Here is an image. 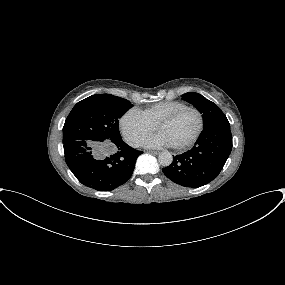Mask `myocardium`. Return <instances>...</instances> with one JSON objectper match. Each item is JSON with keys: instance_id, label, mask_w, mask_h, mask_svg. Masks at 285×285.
<instances>
[{"instance_id": "f54148a6", "label": "myocardium", "mask_w": 285, "mask_h": 285, "mask_svg": "<svg viewBox=\"0 0 285 285\" xmlns=\"http://www.w3.org/2000/svg\"><path fill=\"white\" fill-rule=\"evenodd\" d=\"M185 110H193L196 112V114L198 116V120H199V125H198L196 132L193 134V136L191 138H189L186 142H184L183 144L178 145V146H172V148L175 150L186 149V148L190 147L191 145H193L198 140V138L200 137V135L204 129L203 113L195 106L185 105V106L180 107V108L176 109L175 111L171 112L169 115H167L166 117L161 119L157 123V125L155 126V130L158 131L160 127L171 123L181 112H183Z\"/></svg>"}]
</instances>
